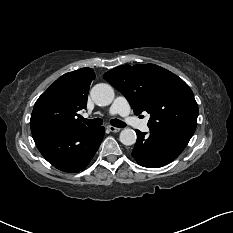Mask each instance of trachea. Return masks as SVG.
Returning a JSON list of instances; mask_svg holds the SVG:
<instances>
[{
	"label": "trachea",
	"mask_w": 233,
	"mask_h": 233,
	"mask_svg": "<svg viewBox=\"0 0 233 233\" xmlns=\"http://www.w3.org/2000/svg\"><path fill=\"white\" fill-rule=\"evenodd\" d=\"M81 120L87 126L93 127V128L99 127V126H101L103 124V121L100 118H95V119L88 120V119H85V118L81 117ZM110 123H111L112 126L118 127V128H123V127L126 126V124L124 122H122L121 120H117V119L111 120Z\"/></svg>",
	"instance_id": "trachea-1"
}]
</instances>
